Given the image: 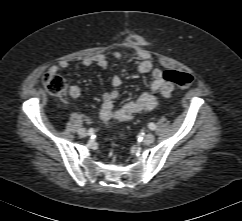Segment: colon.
I'll return each mask as SVG.
<instances>
[{"label":"colon","instance_id":"colon-1","mask_svg":"<svg viewBox=\"0 0 242 221\" xmlns=\"http://www.w3.org/2000/svg\"><path fill=\"white\" fill-rule=\"evenodd\" d=\"M163 78L176 86L187 89L193 84V76L189 73L168 70L163 73ZM44 88L52 95L65 97L67 92L66 80L56 72H46L41 79Z\"/></svg>","mask_w":242,"mask_h":221}]
</instances>
